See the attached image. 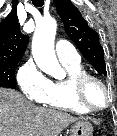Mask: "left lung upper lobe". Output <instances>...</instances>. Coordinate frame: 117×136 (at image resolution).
<instances>
[{"mask_svg": "<svg viewBox=\"0 0 117 136\" xmlns=\"http://www.w3.org/2000/svg\"><path fill=\"white\" fill-rule=\"evenodd\" d=\"M54 3L69 38L99 74H106L104 51L98 33L88 26L87 21L70 0H54Z\"/></svg>", "mask_w": 117, "mask_h": 136, "instance_id": "5c2ea615", "label": "left lung upper lobe"}]
</instances>
